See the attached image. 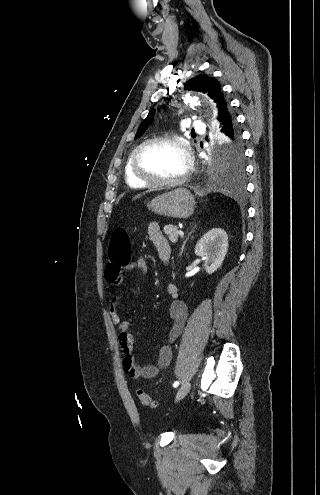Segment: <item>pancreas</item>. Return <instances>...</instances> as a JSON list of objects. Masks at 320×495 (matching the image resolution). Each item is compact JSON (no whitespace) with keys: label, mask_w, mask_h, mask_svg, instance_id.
Returning a JSON list of instances; mask_svg holds the SVG:
<instances>
[{"label":"pancreas","mask_w":320,"mask_h":495,"mask_svg":"<svg viewBox=\"0 0 320 495\" xmlns=\"http://www.w3.org/2000/svg\"><path fill=\"white\" fill-rule=\"evenodd\" d=\"M164 233L168 235V238L171 242L176 243L178 242V237L180 236L178 234V227L174 225H166L164 226Z\"/></svg>","instance_id":"obj_1"}]
</instances>
